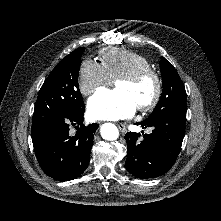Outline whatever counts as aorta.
Here are the masks:
<instances>
[{
  "instance_id": "obj_1",
  "label": "aorta",
  "mask_w": 221,
  "mask_h": 221,
  "mask_svg": "<svg viewBox=\"0 0 221 221\" xmlns=\"http://www.w3.org/2000/svg\"><path fill=\"white\" fill-rule=\"evenodd\" d=\"M101 136L105 140L113 141L119 136L118 128L111 123H105L102 125L100 130Z\"/></svg>"
}]
</instances>
